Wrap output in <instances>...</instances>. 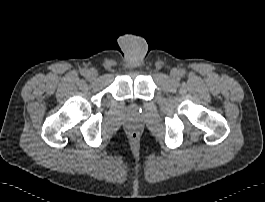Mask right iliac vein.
Returning a JSON list of instances; mask_svg holds the SVG:
<instances>
[{
  "mask_svg": "<svg viewBox=\"0 0 265 202\" xmlns=\"http://www.w3.org/2000/svg\"><path fill=\"white\" fill-rule=\"evenodd\" d=\"M97 78V72L95 70H89V75L87 77V79L89 81H93Z\"/></svg>",
  "mask_w": 265,
  "mask_h": 202,
  "instance_id": "right-iliac-vein-1",
  "label": "right iliac vein"
}]
</instances>
